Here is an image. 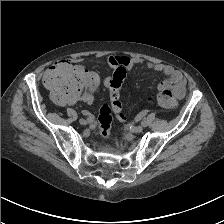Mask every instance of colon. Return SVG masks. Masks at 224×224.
<instances>
[{"instance_id": "obj_1", "label": "colon", "mask_w": 224, "mask_h": 224, "mask_svg": "<svg viewBox=\"0 0 224 224\" xmlns=\"http://www.w3.org/2000/svg\"><path fill=\"white\" fill-rule=\"evenodd\" d=\"M126 76L124 68H116L108 81L109 101L99 109V134L103 139L110 136L112 115L120 120L122 105L120 101V88ZM45 85L51 90L54 99L62 104H74L94 91L99 83L98 77L82 67L61 60L47 71L44 77ZM152 100L166 109H173L177 105L176 96L170 90L157 93Z\"/></svg>"}]
</instances>
